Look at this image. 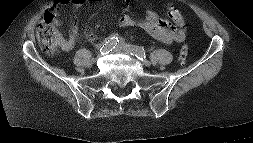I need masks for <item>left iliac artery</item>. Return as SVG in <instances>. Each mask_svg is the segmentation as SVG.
<instances>
[{
    "label": "left iliac artery",
    "instance_id": "1",
    "mask_svg": "<svg viewBox=\"0 0 253 143\" xmlns=\"http://www.w3.org/2000/svg\"><path fill=\"white\" fill-rule=\"evenodd\" d=\"M132 55H135L138 59L143 60L146 58V53L144 48L139 46H133L132 45Z\"/></svg>",
    "mask_w": 253,
    "mask_h": 143
}]
</instances>
